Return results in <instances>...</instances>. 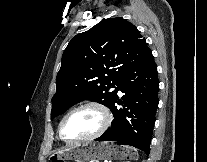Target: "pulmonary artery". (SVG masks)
<instances>
[{"label": "pulmonary artery", "instance_id": "1", "mask_svg": "<svg viewBox=\"0 0 207 162\" xmlns=\"http://www.w3.org/2000/svg\"><path fill=\"white\" fill-rule=\"evenodd\" d=\"M117 88L119 89V92H120V86H117Z\"/></svg>", "mask_w": 207, "mask_h": 162}]
</instances>
